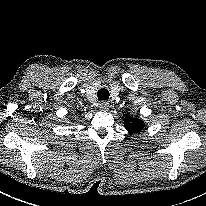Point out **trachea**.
<instances>
[{
  "label": "trachea",
  "mask_w": 206,
  "mask_h": 206,
  "mask_svg": "<svg viewBox=\"0 0 206 206\" xmlns=\"http://www.w3.org/2000/svg\"><path fill=\"white\" fill-rule=\"evenodd\" d=\"M97 97L99 100H108L109 98V91L106 88H101L97 92Z\"/></svg>",
  "instance_id": "1"
}]
</instances>
